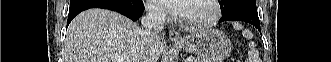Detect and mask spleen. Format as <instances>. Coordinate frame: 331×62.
Listing matches in <instances>:
<instances>
[{
  "label": "spleen",
  "mask_w": 331,
  "mask_h": 62,
  "mask_svg": "<svg viewBox=\"0 0 331 62\" xmlns=\"http://www.w3.org/2000/svg\"><path fill=\"white\" fill-rule=\"evenodd\" d=\"M233 27L235 30H242V34L246 39H252L253 34L250 30L243 29V26L239 23H234ZM250 50L248 52V59L247 62H257L259 53L255 48V45L253 42L249 44Z\"/></svg>",
  "instance_id": "obj_1"
}]
</instances>
